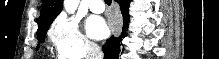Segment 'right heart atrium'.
<instances>
[{
  "mask_svg": "<svg viewBox=\"0 0 219 59\" xmlns=\"http://www.w3.org/2000/svg\"><path fill=\"white\" fill-rule=\"evenodd\" d=\"M49 39L54 52L61 59H85L93 56L96 44L81 30L79 22L61 15L51 25Z\"/></svg>",
  "mask_w": 219,
  "mask_h": 59,
  "instance_id": "1",
  "label": "right heart atrium"
}]
</instances>
